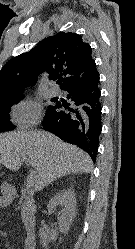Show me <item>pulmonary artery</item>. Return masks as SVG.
<instances>
[{
    "instance_id": "1",
    "label": "pulmonary artery",
    "mask_w": 135,
    "mask_h": 249,
    "mask_svg": "<svg viewBox=\"0 0 135 249\" xmlns=\"http://www.w3.org/2000/svg\"><path fill=\"white\" fill-rule=\"evenodd\" d=\"M50 93L52 96H59L61 94V90L58 86H54L51 88Z\"/></svg>"
}]
</instances>
